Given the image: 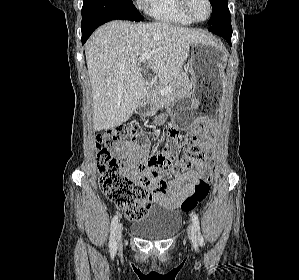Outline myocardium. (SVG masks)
<instances>
[{
	"instance_id": "1",
	"label": "myocardium",
	"mask_w": 299,
	"mask_h": 280,
	"mask_svg": "<svg viewBox=\"0 0 299 280\" xmlns=\"http://www.w3.org/2000/svg\"><path fill=\"white\" fill-rule=\"evenodd\" d=\"M208 6V14L205 19L198 20L194 17V15L191 12V0H180L181 9L184 12V14L194 23H203L207 21L211 15H212V3L210 0H205Z\"/></svg>"
}]
</instances>
